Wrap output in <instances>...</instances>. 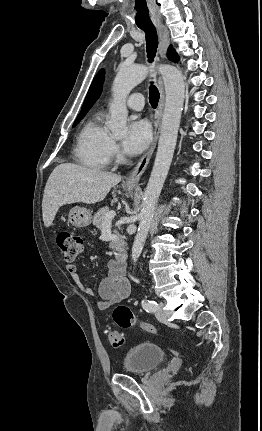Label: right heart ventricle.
I'll use <instances>...</instances> for the list:
<instances>
[{"label": "right heart ventricle", "mask_w": 262, "mask_h": 431, "mask_svg": "<svg viewBox=\"0 0 262 431\" xmlns=\"http://www.w3.org/2000/svg\"><path fill=\"white\" fill-rule=\"evenodd\" d=\"M111 135L103 126L100 114L91 116L82 126L75 145L78 161L91 169H103L109 161Z\"/></svg>", "instance_id": "obj_1"}]
</instances>
